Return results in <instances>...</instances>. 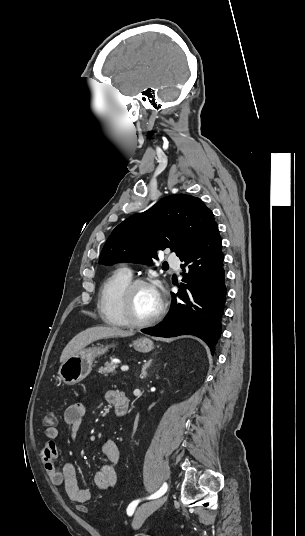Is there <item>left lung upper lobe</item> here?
I'll return each instance as SVG.
<instances>
[{
	"instance_id": "left-lung-upper-lobe-1",
	"label": "left lung upper lobe",
	"mask_w": 305,
	"mask_h": 536,
	"mask_svg": "<svg viewBox=\"0 0 305 536\" xmlns=\"http://www.w3.org/2000/svg\"><path fill=\"white\" fill-rule=\"evenodd\" d=\"M217 227L213 213L197 197L177 194L120 223L107 239L99 263L129 261L152 265L157 250L170 248L179 258L195 250Z\"/></svg>"
}]
</instances>
